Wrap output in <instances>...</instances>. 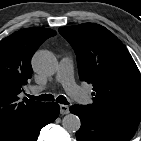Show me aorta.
<instances>
[{"label": "aorta", "instance_id": "obj_1", "mask_svg": "<svg viewBox=\"0 0 141 141\" xmlns=\"http://www.w3.org/2000/svg\"><path fill=\"white\" fill-rule=\"evenodd\" d=\"M32 67L38 74L51 76L57 70L55 56L47 50H39L32 57ZM63 128L69 133H75L81 127V121L75 114H67L62 120Z\"/></svg>", "mask_w": 141, "mask_h": 141}]
</instances>
